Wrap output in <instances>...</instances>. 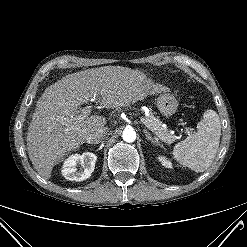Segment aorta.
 <instances>
[{
  "mask_svg": "<svg viewBox=\"0 0 247 247\" xmlns=\"http://www.w3.org/2000/svg\"><path fill=\"white\" fill-rule=\"evenodd\" d=\"M122 138L125 142H134L136 139V132L133 128H125L122 133Z\"/></svg>",
  "mask_w": 247,
  "mask_h": 247,
  "instance_id": "1",
  "label": "aorta"
}]
</instances>
